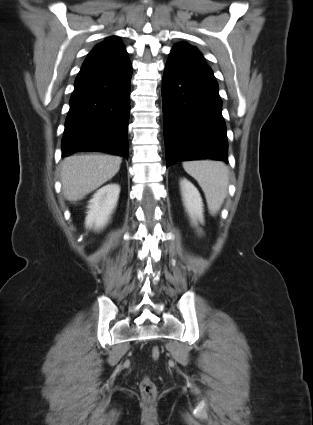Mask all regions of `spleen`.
Here are the masks:
<instances>
[{"label": "spleen", "instance_id": "spleen-1", "mask_svg": "<svg viewBox=\"0 0 313 425\" xmlns=\"http://www.w3.org/2000/svg\"><path fill=\"white\" fill-rule=\"evenodd\" d=\"M184 170L197 180L202 188L208 209L215 215L221 208L229 185L228 167L220 161L183 162Z\"/></svg>", "mask_w": 313, "mask_h": 425}]
</instances>
